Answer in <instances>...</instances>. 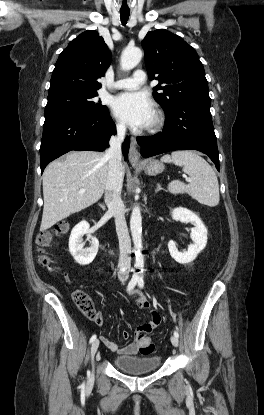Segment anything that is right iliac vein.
Wrapping results in <instances>:
<instances>
[{"label": "right iliac vein", "mask_w": 264, "mask_h": 415, "mask_svg": "<svg viewBox=\"0 0 264 415\" xmlns=\"http://www.w3.org/2000/svg\"><path fill=\"white\" fill-rule=\"evenodd\" d=\"M98 347H99V340L96 339L95 341H93L92 346H91V359H92V363H93V360H94V356H95V354H96V352L98 350ZM91 378H93V374L91 375Z\"/></svg>", "instance_id": "obj_1"}]
</instances>
